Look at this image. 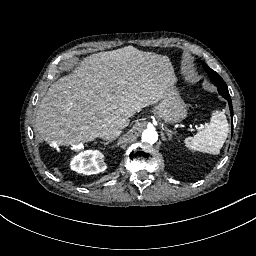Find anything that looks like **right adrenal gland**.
Masks as SVG:
<instances>
[{"mask_svg":"<svg viewBox=\"0 0 256 256\" xmlns=\"http://www.w3.org/2000/svg\"><path fill=\"white\" fill-rule=\"evenodd\" d=\"M110 142H111V140L109 139V140L104 141V142L101 141L100 143L106 145V144H109Z\"/></svg>","mask_w":256,"mask_h":256,"instance_id":"2a0ac1e0","label":"right adrenal gland"}]
</instances>
